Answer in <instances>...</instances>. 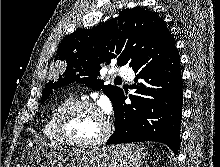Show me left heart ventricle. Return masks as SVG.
<instances>
[{"label": "left heart ventricle", "mask_w": 220, "mask_h": 167, "mask_svg": "<svg viewBox=\"0 0 220 167\" xmlns=\"http://www.w3.org/2000/svg\"><path fill=\"white\" fill-rule=\"evenodd\" d=\"M66 133L77 140H92L103 130L102 117L88 108L80 107L71 112L65 121Z\"/></svg>", "instance_id": "b2bd125f"}]
</instances>
